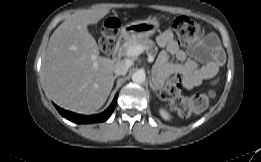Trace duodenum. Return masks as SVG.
<instances>
[{"instance_id":"duodenum-1","label":"duodenum","mask_w":261,"mask_h":162,"mask_svg":"<svg viewBox=\"0 0 261 162\" xmlns=\"http://www.w3.org/2000/svg\"><path fill=\"white\" fill-rule=\"evenodd\" d=\"M127 42V37L125 35H121L116 42L117 48H121Z\"/></svg>"}]
</instances>
